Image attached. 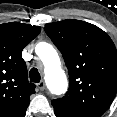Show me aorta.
Wrapping results in <instances>:
<instances>
[{
  "mask_svg": "<svg viewBox=\"0 0 117 117\" xmlns=\"http://www.w3.org/2000/svg\"><path fill=\"white\" fill-rule=\"evenodd\" d=\"M36 54L44 65L46 82L51 92L57 95L64 93L68 82L65 72L61 68L57 51L52 45L42 42L37 45Z\"/></svg>",
  "mask_w": 117,
  "mask_h": 117,
  "instance_id": "obj_1",
  "label": "aorta"
}]
</instances>
